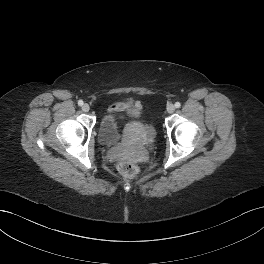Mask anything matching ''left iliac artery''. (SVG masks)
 Wrapping results in <instances>:
<instances>
[{"label":"left iliac artery","instance_id":"obj_1","mask_svg":"<svg viewBox=\"0 0 264 264\" xmlns=\"http://www.w3.org/2000/svg\"><path fill=\"white\" fill-rule=\"evenodd\" d=\"M180 106H181L180 102H176V103H175V107H176V108H180Z\"/></svg>","mask_w":264,"mask_h":264}]
</instances>
